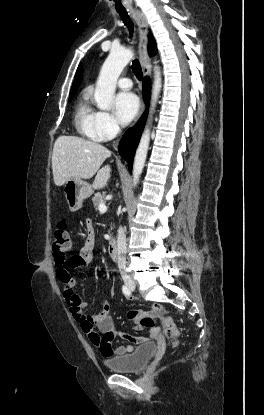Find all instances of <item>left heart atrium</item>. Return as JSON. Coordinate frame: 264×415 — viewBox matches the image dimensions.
<instances>
[{"label":"left heart atrium","mask_w":264,"mask_h":415,"mask_svg":"<svg viewBox=\"0 0 264 415\" xmlns=\"http://www.w3.org/2000/svg\"><path fill=\"white\" fill-rule=\"evenodd\" d=\"M138 108V98L133 93L122 92L115 97V114L122 124L132 121L138 112Z\"/></svg>","instance_id":"left-heart-atrium-1"}]
</instances>
